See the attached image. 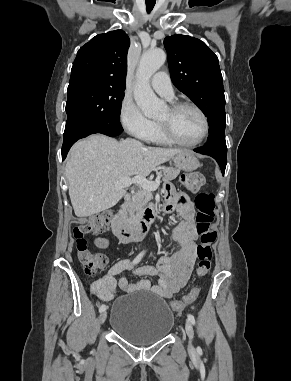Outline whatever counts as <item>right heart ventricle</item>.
I'll return each mask as SVG.
<instances>
[{
    "label": "right heart ventricle",
    "mask_w": 291,
    "mask_h": 381,
    "mask_svg": "<svg viewBox=\"0 0 291 381\" xmlns=\"http://www.w3.org/2000/svg\"><path fill=\"white\" fill-rule=\"evenodd\" d=\"M149 142L158 144H169L170 142L161 134L158 125L154 123V127L150 135L146 139Z\"/></svg>",
    "instance_id": "right-heart-ventricle-1"
}]
</instances>
